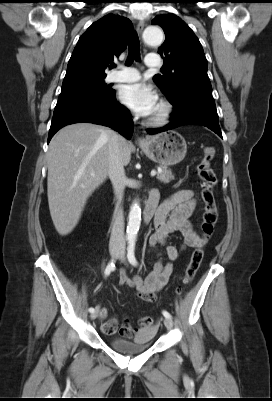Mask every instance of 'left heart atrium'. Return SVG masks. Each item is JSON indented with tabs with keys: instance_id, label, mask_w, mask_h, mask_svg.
I'll list each match as a JSON object with an SVG mask.
<instances>
[{
	"instance_id": "1",
	"label": "left heart atrium",
	"mask_w": 272,
	"mask_h": 401,
	"mask_svg": "<svg viewBox=\"0 0 272 401\" xmlns=\"http://www.w3.org/2000/svg\"><path fill=\"white\" fill-rule=\"evenodd\" d=\"M119 100L135 114L142 117L154 114L158 106L155 90L144 83L123 86L119 91Z\"/></svg>"
}]
</instances>
